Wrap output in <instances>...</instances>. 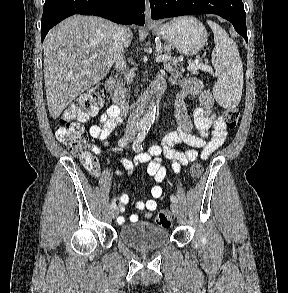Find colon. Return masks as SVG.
<instances>
[{"mask_svg": "<svg viewBox=\"0 0 288 293\" xmlns=\"http://www.w3.org/2000/svg\"><path fill=\"white\" fill-rule=\"evenodd\" d=\"M106 98V90L102 85L91 88L62 112L55 128L57 140L79 157L84 168L91 174L98 173L99 163L97 158L87 149L88 133L83 123L96 114L106 102ZM239 117V110L230 108L223 113V122L228 129H234ZM202 172L203 167L199 162L191 165L190 176L193 180L199 179ZM155 223L161 227L169 228L172 224L170 213L165 210L159 211L155 216Z\"/></svg>", "mask_w": 288, "mask_h": 293, "instance_id": "1", "label": "colon"}]
</instances>
